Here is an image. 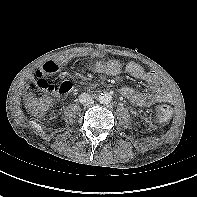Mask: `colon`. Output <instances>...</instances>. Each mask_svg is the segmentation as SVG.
I'll return each mask as SVG.
<instances>
[{
  "instance_id": "colon-1",
  "label": "colon",
  "mask_w": 197,
  "mask_h": 197,
  "mask_svg": "<svg viewBox=\"0 0 197 197\" xmlns=\"http://www.w3.org/2000/svg\"><path fill=\"white\" fill-rule=\"evenodd\" d=\"M72 89L69 81L54 84L46 79L38 78L29 88L26 97V105L35 114H42L50 105L48 93L67 94ZM172 116V109L169 105H160L155 111V117L159 122H168Z\"/></svg>"
}]
</instances>
